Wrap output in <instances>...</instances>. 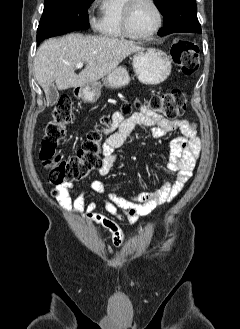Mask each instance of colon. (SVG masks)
Instances as JSON below:
<instances>
[{
	"mask_svg": "<svg viewBox=\"0 0 240 329\" xmlns=\"http://www.w3.org/2000/svg\"><path fill=\"white\" fill-rule=\"evenodd\" d=\"M171 57L174 64L185 75L197 72L200 63V48L193 41L178 38L171 47ZM187 94L179 89L161 93L147 99L143 106L163 113L168 118L182 116L186 110ZM128 105L122 108L125 116L131 114ZM74 121L71 100L68 96H61L53 111L52 119L45 127V134L40 150V159L48 171L49 180L54 184H71L84 180L89 173L99 166L101 154V126L90 131L82 140L75 155L63 157L59 150V143L66 135V129ZM109 117L101 119V125L108 127Z\"/></svg>",
	"mask_w": 240,
	"mask_h": 329,
	"instance_id": "5ec220e1",
	"label": "colon"
}]
</instances>
